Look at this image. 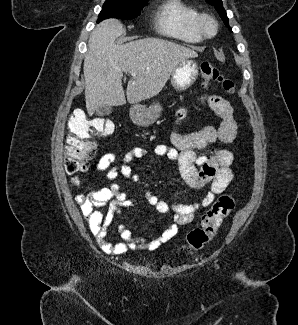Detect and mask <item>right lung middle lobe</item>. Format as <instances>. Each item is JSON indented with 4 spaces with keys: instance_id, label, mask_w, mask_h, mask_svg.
Here are the masks:
<instances>
[{
    "instance_id": "dd1d6c3e",
    "label": "right lung middle lobe",
    "mask_w": 298,
    "mask_h": 325,
    "mask_svg": "<svg viewBox=\"0 0 298 325\" xmlns=\"http://www.w3.org/2000/svg\"><path fill=\"white\" fill-rule=\"evenodd\" d=\"M143 3L106 0L97 22L107 18L133 19L140 15Z\"/></svg>"
}]
</instances>
